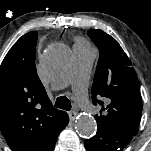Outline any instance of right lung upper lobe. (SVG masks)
I'll return each instance as SVG.
<instances>
[{
	"instance_id": "right-lung-upper-lobe-1",
	"label": "right lung upper lobe",
	"mask_w": 151,
	"mask_h": 151,
	"mask_svg": "<svg viewBox=\"0 0 151 151\" xmlns=\"http://www.w3.org/2000/svg\"><path fill=\"white\" fill-rule=\"evenodd\" d=\"M37 38V31L19 38L0 66V130L13 151H53L69 122L36 73Z\"/></svg>"
}]
</instances>
